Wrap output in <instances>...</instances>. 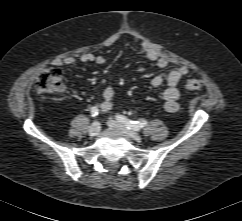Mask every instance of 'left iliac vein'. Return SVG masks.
I'll return each mask as SVG.
<instances>
[{
	"label": "left iliac vein",
	"mask_w": 242,
	"mask_h": 221,
	"mask_svg": "<svg viewBox=\"0 0 242 221\" xmlns=\"http://www.w3.org/2000/svg\"><path fill=\"white\" fill-rule=\"evenodd\" d=\"M108 125L114 129L121 131L122 133H124L126 136L130 137L133 140H136V141L141 140V136L137 132H135L134 130L128 129L125 125L117 121L109 120Z\"/></svg>",
	"instance_id": "left-iliac-vein-1"
}]
</instances>
